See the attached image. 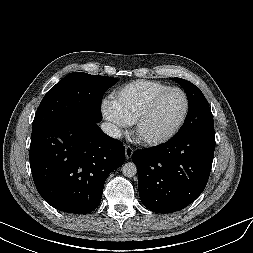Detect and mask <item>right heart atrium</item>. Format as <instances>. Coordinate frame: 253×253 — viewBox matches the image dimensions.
<instances>
[{
  "label": "right heart atrium",
  "mask_w": 253,
  "mask_h": 253,
  "mask_svg": "<svg viewBox=\"0 0 253 253\" xmlns=\"http://www.w3.org/2000/svg\"><path fill=\"white\" fill-rule=\"evenodd\" d=\"M102 112L105 119L111 122L116 128L123 129L127 125L113 100L104 101L102 105Z\"/></svg>",
  "instance_id": "right-heart-atrium-1"
}]
</instances>
